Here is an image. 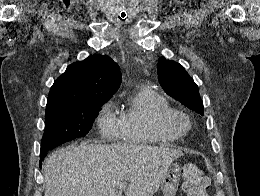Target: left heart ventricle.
<instances>
[{
	"label": "left heart ventricle",
	"instance_id": "obj_1",
	"mask_svg": "<svg viewBox=\"0 0 260 196\" xmlns=\"http://www.w3.org/2000/svg\"><path fill=\"white\" fill-rule=\"evenodd\" d=\"M154 113H155V115H157L158 114V110H154Z\"/></svg>",
	"mask_w": 260,
	"mask_h": 196
}]
</instances>
